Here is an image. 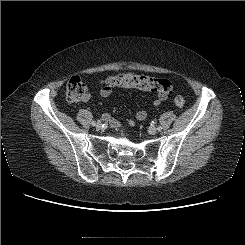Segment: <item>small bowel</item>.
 Segmentation results:
<instances>
[{
	"label": "small bowel",
	"instance_id": "small-bowel-1",
	"mask_svg": "<svg viewBox=\"0 0 245 245\" xmlns=\"http://www.w3.org/2000/svg\"><path fill=\"white\" fill-rule=\"evenodd\" d=\"M111 93V90L109 89H106L105 87H103L101 90H100V95L102 97H108ZM90 98V95L86 94L85 97L83 98V101H87L89 100ZM167 98V95H162V94H159L157 99H155L153 102H152V105L153 106H159L162 104V102H164ZM103 120H106L108 121L110 119V116L107 115V114H104L102 116ZM147 118V112L145 110H139L137 113H136V119L139 120V121H142V120H145ZM128 124L130 126H134L135 123L132 119H128L127 120Z\"/></svg>",
	"mask_w": 245,
	"mask_h": 245
}]
</instances>
